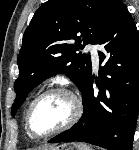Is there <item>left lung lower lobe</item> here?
Returning a JSON list of instances; mask_svg holds the SVG:
<instances>
[{
  "label": "left lung lower lobe",
  "instance_id": "obj_1",
  "mask_svg": "<svg viewBox=\"0 0 139 150\" xmlns=\"http://www.w3.org/2000/svg\"><path fill=\"white\" fill-rule=\"evenodd\" d=\"M99 92L94 94L90 75L83 94L84 111L71 129L49 143L78 141L108 150H131L139 112V35L121 0L113 5L107 27L98 41Z\"/></svg>",
  "mask_w": 139,
  "mask_h": 150
}]
</instances>
